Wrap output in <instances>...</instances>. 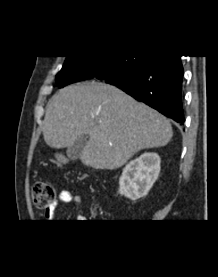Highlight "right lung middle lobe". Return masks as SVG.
<instances>
[{
	"label": "right lung middle lobe",
	"instance_id": "obj_1",
	"mask_svg": "<svg viewBox=\"0 0 218 277\" xmlns=\"http://www.w3.org/2000/svg\"><path fill=\"white\" fill-rule=\"evenodd\" d=\"M150 56H67L56 76L59 87L80 81L89 74H97L108 83L127 82L150 59Z\"/></svg>",
	"mask_w": 218,
	"mask_h": 277
}]
</instances>
